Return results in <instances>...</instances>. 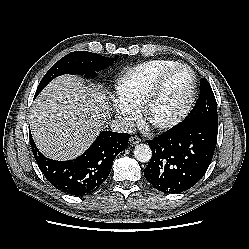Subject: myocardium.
<instances>
[{
    "label": "myocardium",
    "instance_id": "obj_1",
    "mask_svg": "<svg viewBox=\"0 0 249 249\" xmlns=\"http://www.w3.org/2000/svg\"><path fill=\"white\" fill-rule=\"evenodd\" d=\"M179 69H187L191 75V84H190L186 99L182 107L173 117H171L170 119L166 121L158 122V123L150 122L149 112L152 106L159 98L169 77ZM196 88H197V77H196L194 70L189 65L178 63L177 65L168 68L159 76V78L157 79V81L155 82L151 90L148 92V94L144 98L139 108L142 122L154 128L155 130H159V131L168 130V129H171L177 126L189 114L192 108L193 102H194Z\"/></svg>",
    "mask_w": 249,
    "mask_h": 249
}]
</instances>
